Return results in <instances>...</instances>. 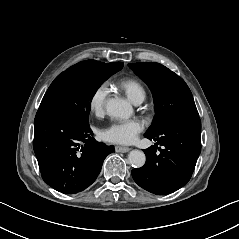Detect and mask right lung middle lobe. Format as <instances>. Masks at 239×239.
Listing matches in <instances>:
<instances>
[{
	"label": "right lung middle lobe",
	"instance_id": "dd1d6c3e",
	"mask_svg": "<svg viewBox=\"0 0 239 239\" xmlns=\"http://www.w3.org/2000/svg\"><path fill=\"white\" fill-rule=\"evenodd\" d=\"M117 69L95 60L71 66L58 75L45 93L36 117L49 113H65L88 124L90 102L101 84Z\"/></svg>",
	"mask_w": 239,
	"mask_h": 239
}]
</instances>
